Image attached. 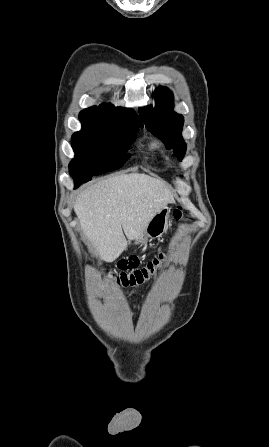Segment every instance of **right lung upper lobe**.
<instances>
[{
	"mask_svg": "<svg viewBox=\"0 0 269 447\" xmlns=\"http://www.w3.org/2000/svg\"><path fill=\"white\" fill-rule=\"evenodd\" d=\"M79 118L81 121L100 123L105 125H142L138 115L130 109L115 107L112 104H101L92 106L81 111Z\"/></svg>",
	"mask_w": 269,
	"mask_h": 447,
	"instance_id": "right-lung-upper-lobe-1",
	"label": "right lung upper lobe"
}]
</instances>
